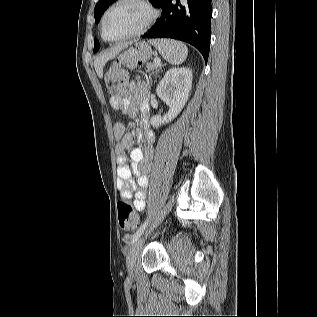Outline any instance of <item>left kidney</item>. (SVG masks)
I'll return each instance as SVG.
<instances>
[{
  "label": "left kidney",
  "instance_id": "5707ae66",
  "mask_svg": "<svg viewBox=\"0 0 317 317\" xmlns=\"http://www.w3.org/2000/svg\"><path fill=\"white\" fill-rule=\"evenodd\" d=\"M192 86V71L189 68H173L168 70L159 82L156 93L168 106L169 111L164 116L155 115L151 125L155 128L173 120L183 109Z\"/></svg>",
  "mask_w": 317,
  "mask_h": 317
}]
</instances>
